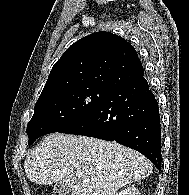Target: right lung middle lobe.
Masks as SVG:
<instances>
[{"label":"right lung middle lobe","instance_id":"right-lung-middle-lobe-1","mask_svg":"<svg viewBox=\"0 0 189 195\" xmlns=\"http://www.w3.org/2000/svg\"><path fill=\"white\" fill-rule=\"evenodd\" d=\"M110 90L79 87L40 96L32 119L27 125L29 145L37 138L60 132L85 116Z\"/></svg>","mask_w":189,"mask_h":195}]
</instances>
